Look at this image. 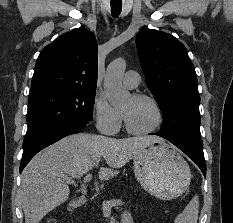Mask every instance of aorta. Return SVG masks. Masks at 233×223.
Wrapping results in <instances>:
<instances>
[{
	"label": "aorta",
	"instance_id": "aorta-1",
	"mask_svg": "<svg viewBox=\"0 0 233 223\" xmlns=\"http://www.w3.org/2000/svg\"><path fill=\"white\" fill-rule=\"evenodd\" d=\"M125 70V60H114V62L109 64L106 70L104 90L109 104L114 106V108H116V106H121V104H125L131 96L128 90L122 86V76Z\"/></svg>",
	"mask_w": 233,
	"mask_h": 223
}]
</instances>
